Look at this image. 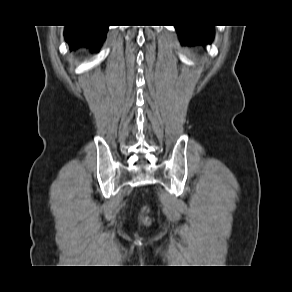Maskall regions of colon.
Returning <instances> with one entry per match:
<instances>
[{
  "mask_svg": "<svg viewBox=\"0 0 292 292\" xmlns=\"http://www.w3.org/2000/svg\"><path fill=\"white\" fill-rule=\"evenodd\" d=\"M140 220H141L142 224H144V225L150 224V218L148 216V208L147 207L142 208Z\"/></svg>",
  "mask_w": 292,
  "mask_h": 292,
  "instance_id": "1",
  "label": "colon"
}]
</instances>
